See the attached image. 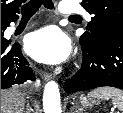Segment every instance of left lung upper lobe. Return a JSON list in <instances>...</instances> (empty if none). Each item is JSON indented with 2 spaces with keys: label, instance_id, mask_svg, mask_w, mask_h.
Segmentation results:
<instances>
[{
  "label": "left lung upper lobe",
  "instance_id": "left-lung-upper-lobe-1",
  "mask_svg": "<svg viewBox=\"0 0 123 113\" xmlns=\"http://www.w3.org/2000/svg\"><path fill=\"white\" fill-rule=\"evenodd\" d=\"M81 5L92 14V19L80 42L92 43L98 40L106 21L123 27V0H82Z\"/></svg>",
  "mask_w": 123,
  "mask_h": 113
}]
</instances>
